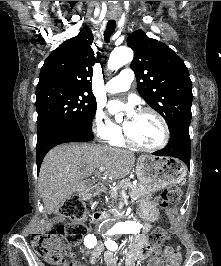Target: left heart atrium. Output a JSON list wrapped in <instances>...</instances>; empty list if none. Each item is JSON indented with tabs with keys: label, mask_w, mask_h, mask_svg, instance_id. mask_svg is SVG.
Returning <instances> with one entry per match:
<instances>
[{
	"label": "left heart atrium",
	"mask_w": 221,
	"mask_h": 266,
	"mask_svg": "<svg viewBox=\"0 0 221 266\" xmlns=\"http://www.w3.org/2000/svg\"><path fill=\"white\" fill-rule=\"evenodd\" d=\"M109 109L111 112H116L118 110L125 109L127 111L128 118H133L136 115L134 106L132 103L123 104L118 101H112L109 104Z\"/></svg>",
	"instance_id": "39dd6f15"
}]
</instances>
